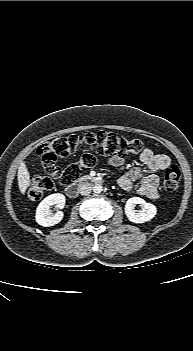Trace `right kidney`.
<instances>
[{
	"instance_id": "right-kidney-1",
	"label": "right kidney",
	"mask_w": 193,
	"mask_h": 351,
	"mask_svg": "<svg viewBox=\"0 0 193 351\" xmlns=\"http://www.w3.org/2000/svg\"><path fill=\"white\" fill-rule=\"evenodd\" d=\"M65 196L61 193H55L47 196L40 202L36 210V222L44 227L53 226L58 224L63 219V212L58 211L54 215L50 213V207L55 205L57 208L62 209L65 206Z\"/></svg>"
}]
</instances>
